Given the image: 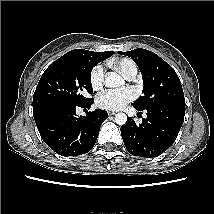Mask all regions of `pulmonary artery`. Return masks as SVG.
Instances as JSON below:
<instances>
[{
    "label": "pulmonary artery",
    "instance_id": "pulmonary-artery-1",
    "mask_svg": "<svg viewBox=\"0 0 214 214\" xmlns=\"http://www.w3.org/2000/svg\"><path fill=\"white\" fill-rule=\"evenodd\" d=\"M137 72L133 71L132 73H130V75L127 77V79L131 80L136 76Z\"/></svg>",
    "mask_w": 214,
    "mask_h": 214
}]
</instances>
